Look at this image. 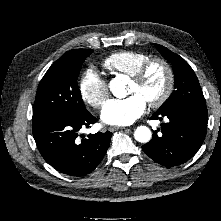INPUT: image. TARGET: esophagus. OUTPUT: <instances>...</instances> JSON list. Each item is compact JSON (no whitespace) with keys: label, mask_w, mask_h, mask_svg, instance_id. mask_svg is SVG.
<instances>
[{"label":"esophagus","mask_w":221,"mask_h":221,"mask_svg":"<svg viewBox=\"0 0 221 221\" xmlns=\"http://www.w3.org/2000/svg\"><path fill=\"white\" fill-rule=\"evenodd\" d=\"M108 129H109V131L114 132L116 130L126 129V128L125 127H118V126H110Z\"/></svg>","instance_id":"obj_1"}]
</instances>
